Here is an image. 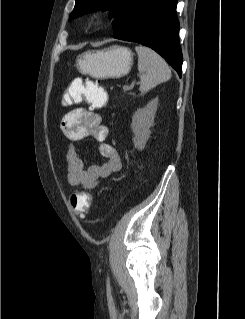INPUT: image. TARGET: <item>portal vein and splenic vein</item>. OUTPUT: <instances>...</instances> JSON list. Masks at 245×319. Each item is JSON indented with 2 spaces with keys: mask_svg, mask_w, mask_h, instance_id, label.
<instances>
[{
  "mask_svg": "<svg viewBox=\"0 0 245 319\" xmlns=\"http://www.w3.org/2000/svg\"><path fill=\"white\" fill-rule=\"evenodd\" d=\"M131 87H129V86H123V89L124 90H129Z\"/></svg>",
  "mask_w": 245,
  "mask_h": 319,
  "instance_id": "obj_1",
  "label": "portal vein and splenic vein"
}]
</instances>
